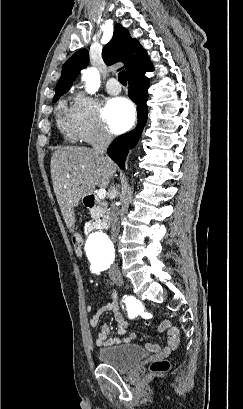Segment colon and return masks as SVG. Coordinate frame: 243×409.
Segmentation results:
<instances>
[{
	"mask_svg": "<svg viewBox=\"0 0 243 409\" xmlns=\"http://www.w3.org/2000/svg\"><path fill=\"white\" fill-rule=\"evenodd\" d=\"M83 243H82V239L79 235H75L73 237V247H74V251L76 253V255L78 256H82L83 253ZM170 367V363L168 360L166 359H160V360H156L154 362H152L150 364V371L153 373H162L165 372L169 369Z\"/></svg>",
	"mask_w": 243,
	"mask_h": 409,
	"instance_id": "1",
	"label": "colon"
}]
</instances>
